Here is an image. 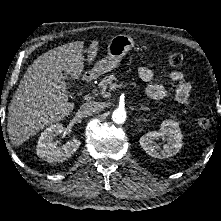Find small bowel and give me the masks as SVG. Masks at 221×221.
<instances>
[{
	"label": "small bowel",
	"instance_id": "small-bowel-1",
	"mask_svg": "<svg viewBox=\"0 0 221 221\" xmlns=\"http://www.w3.org/2000/svg\"><path fill=\"white\" fill-rule=\"evenodd\" d=\"M138 75L145 82L153 81L156 77L153 70L144 66L138 69ZM168 77L176 83V86L172 90H168L161 84L152 83L147 87V95L154 100L174 95L177 102L187 106L190 102L192 84L185 79L183 73L180 71H173L168 75Z\"/></svg>",
	"mask_w": 221,
	"mask_h": 221
}]
</instances>
